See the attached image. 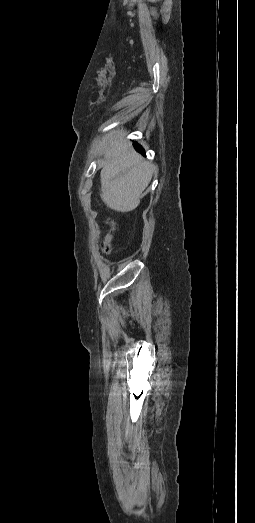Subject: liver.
<instances>
[{"label": "liver", "instance_id": "liver-1", "mask_svg": "<svg viewBox=\"0 0 255 523\" xmlns=\"http://www.w3.org/2000/svg\"><path fill=\"white\" fill-rule=\"evenodd\" d=\"M123 136L124 132H120L118 140H111L110 148L104 150L101 200L115 212H132L139 206L156 166L145 162L132 150L130 142H123Z\"/></svg>", "mask_w": 255, "mask_h": 523}]
</instances>
